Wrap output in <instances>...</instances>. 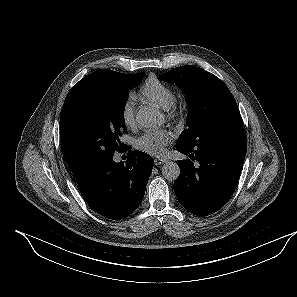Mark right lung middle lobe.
Listing matches in <instances>:
<instances>
[{"label":"right lung middle lobe","instance_id":"dd1d6c3e","mask_svg":"<svg viewBox=\"0 0 297 297\" xmlns=\"http://www.w3.org/2000/svg\"><path fill=\"white\" fill-rule=\"evenodd\" d=\"M144 74L119 73L108 84L83 88L66 97L61 116V142L73 173L109 159L124 145L119 137L125 132L124 108L128 91L137 86Z\"/></svg>","mask_w":297,"mask_h":297}]
</instances>
